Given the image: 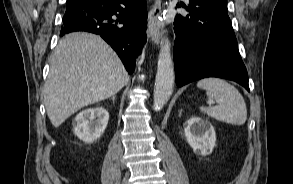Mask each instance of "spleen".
I'll list each match as a JSON object with an SVG mask.
<instances>
[{
	"label": "spleen",
	"mask_w": 293,
	"mask_h": 184,
	"mask_svg": "<svg viewBox=\"0 0 293 184\" xmlns=\"http://www.w3.org/2000/svg\"><path fill=\"white\" fill-rule=\"evenodd\" d=\"M197 87L206 90L209 101L217 100V106L200 107V111L218 121L243 125L247 119V108L241 93L227 81L209 77L198 81Z\"/></svg>",
	"instance_id": "obj_1"
}]
</instances>
